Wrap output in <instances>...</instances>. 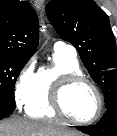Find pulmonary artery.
Here are the masks:
<instances>
[{
	"mask_svg": "<svg viewBox=\"0 0 117 136\" xmlns=\"http://www.w3.org/2000/svg\"><path fill=\"white\" fill-rule=\"evenodd\" d=\"M54 51L58 53L65 54L69 57L76 58L77 51L75 47L69 43H66L64 41H57L54 44Z\"/></svg>",
	"mask_w": 117,
	"mask_h": 136,
	"instance_id": "1",
	"label": "pulmonary artery"
}]
</instances>
